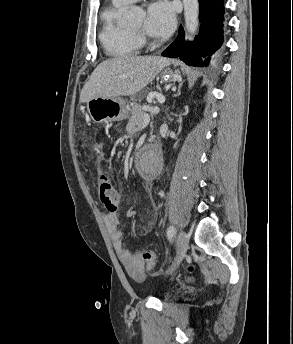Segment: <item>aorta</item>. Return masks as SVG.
<instances>
[{
  "instance_id": "762f6f07",
  "label": "aorta",
  "mask_w": 293,
  "mask_h": 344,
  "mask_svg": "<svg viewBox=\"0 0 293 344\" xmlns=\"http://www.w3.org/2000/svg\"><path fill=\"white\" fill-rule=\"evenodd\" d=\"M184 6V19L187 32L193 36L196 34L199 25V2L198 0H183ZM142 13V10L135 7L128 11L126 20L132 22L136 17ZM155 161L154 153H144L139 160V170L146 172Z\"/></svg>"
}]
</instances>
